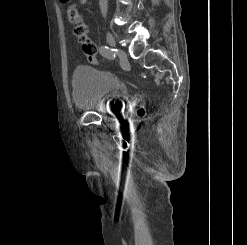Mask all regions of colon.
I'll use <instances>...</instances> for the list:
<instances>
[{
	"mask_svg": "<svg viewBox=\"0 0 247 245\" xmlns=\"http://www.w3.org/2000/svg\"><path fill=\"white\" fill-rule=\"evenodd\" d=\"M70 0H61L62 3H68ZM66 13L69 20L75 25L74 33L81 44L83 52L88 56L93 63H98L96 59V46L87 37V26L83 23L79 10L74 5H69L66 8ZM143 110H139L138 114L143 115Z\"/></svg>",
	"mask_w": 247,
	"mask_h": 245,
	"instance_id": "colon-1",
	"label": "colon"
}]
</instances>
